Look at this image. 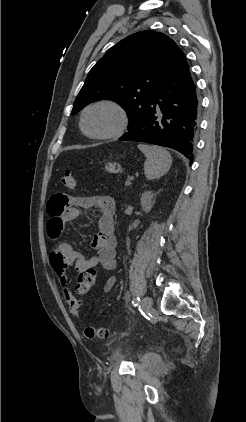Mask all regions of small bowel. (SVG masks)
<instances>
[{
  "label": "small bowel",
  "mask_w": 246,
  "mask_h": 422,
  "mask_svg": "<svg viewBox=\"0 0 246 422\" xmlns=\"http://www.w3.org/2000/svg\"><path fill=\"white\" fill-rule=\"evenodd\" d=\"M96 208L101 215L98 220L99 232L91 242L96 254L86 257L76 251L70 243L61 242L55 248L66 258L69 265H74L77 272L87 268L102 266L107 271L116 268V238L114 235L115 201L104 195L68 196L63 193L54 194L48 203L47 231L50 239L58 240L66 225L78 218L83 210ZM116 283L114 276H109L103 286L105 292L111 291Z\"/></svg>",
  "instance_id": "obj_1"
}]
</instances>
